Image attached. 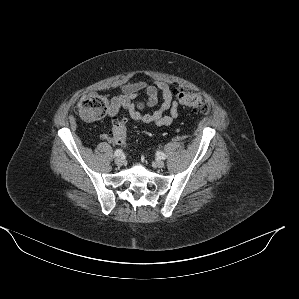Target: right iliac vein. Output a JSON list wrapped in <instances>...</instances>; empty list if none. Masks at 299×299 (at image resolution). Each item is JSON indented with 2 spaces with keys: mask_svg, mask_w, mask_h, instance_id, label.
<instances>
[{
  "mask_svg": "<svg viewBox=\"0 0 299 299\" xmlns=\"http://www.w3.org/2000/svg\"><path fill=\"white\" fill-rule=\"evenodd\" d=\"M124 163H125V161H124V159L121 158V157H117V158L115 159V164H116L117 166H122Z\"/></svg>",
  "mask_w": 299,
  "mask_h": 299,
  "instance_id": "63e3f726",
  "label": "right iliac vein"
}]
</instances>
